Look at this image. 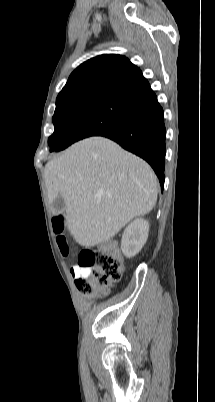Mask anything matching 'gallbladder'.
<instances>
[{"label": "gallbladder", "mask_w": 215, "mask_h": 402, "mask_svg": "<svg viewBox=\"0 0 215 402\" xmlns=\"http://www.w3.org/2000/svg\"><path fill=\"white\" fill-rule=\"evenodd\" d=\"M53 206L57 210H60V209L64 208L65 202H64V199L62 198L61 195L56 198V200L54 201Z\"/></svg>", "instance_id": "bac80fb5"}]
</instances>
